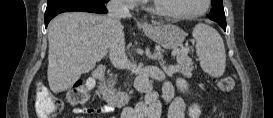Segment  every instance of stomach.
Masks as SVG:
<instances>
[{
	"mask_svg": "<svg viewBox=\"0 0 273 118\" xmlns=\"http://www.w3.org/2000/svg\"><path fill=\"white\" fill-rule=\"evenodd\" d=\"M145 34L166 49H175L185 40L184 30L173 24H152L143 27Z\"/></svg>",
	"mask_w": 273,
	"mask_h": 118,
	"instance_id": "1",
	"label": "stomach"
}]
</instances>
